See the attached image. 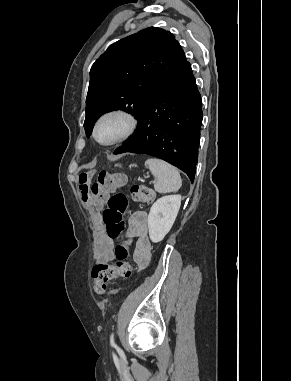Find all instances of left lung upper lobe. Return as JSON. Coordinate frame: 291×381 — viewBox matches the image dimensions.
Segmentation results:
<instances>
[{"label": "left lung upper lobe", "mask_w": 291, "mask_h": 381, "mask_svg": "<svg viewBox=\"0 0 291 381\" xmlns=\"http://www.w3.org/2000/svg\"><path fill=\"white\" fill-rule=\"evenodd\" d=\"M185 60L174 35L157 27L110 45L90 71L84 122L87 137L106 112L121 109L138 119L148 100Z\"/></svg>", "instance_id": "obj_1"}]
</instances>
